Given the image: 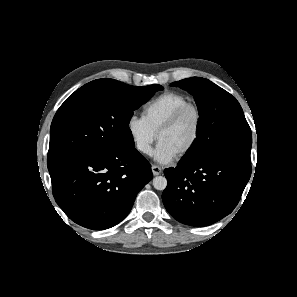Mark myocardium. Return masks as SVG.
<instances>
[{
  "label": "myocardium",
  "mask_w": 297,
  "mask_h": 297,
  "mask_svg": "<svg viewBox=\"0 0 297 297\" xmlns=\"http://www.w3.org/2000/svg\"><path fill=\"white\" fill-rule=\"evenodd\" d=\"M192 112L196 118V129L194 136L190 143L178 154L179 157H185L189 153L193 151L196 145L199 142L200 136L202 134L203 129V115L199 109V107L193 103L186 104L179 108L157 131V139H159L160 135L172 128H174L182 119L183 117Z\"/></svg>",
  "instance_id": "1"
}]
</instances>
